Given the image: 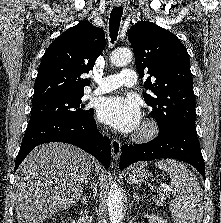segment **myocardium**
<instances>
[{
  "label": "myocardium",
  "instance_id": "obj_1",
  "mask_svg": "<svg viewBox=\"0 0 221 223\" xmlns=\"http://www.w3.org/2000/svg\"><path fill=\"white\" fill-rule=\"evenodd\" d=\"M158 132L159 125L157 121L153 118H147L134 136V139L138 142H146L155 138Z\"/></svg>",
  "mask_w": 221,
  "mask_h": 223
}]
</instances>
